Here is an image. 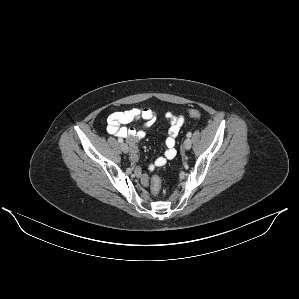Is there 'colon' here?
I'll return each instance as SVG.
<instances>
[{
    "mask_svg": "<svg viewBox=\"0 0 299 299\" xmlns=\"http://www.w3.org/2000/svg\"><path fill=\"white\" fill-rule=\"evenodd\" d=\"M189 117L197 119L201 117V112L199 110H190L188 112ZM161 189V180L158 176L152 178V193L157 195Z\"/></svg>",
    "mask_w": 299,
    "mask_h": 299,
    "instance_id": "1",
    "label": "colon"
}]
</instances>
